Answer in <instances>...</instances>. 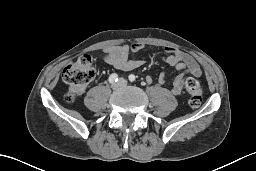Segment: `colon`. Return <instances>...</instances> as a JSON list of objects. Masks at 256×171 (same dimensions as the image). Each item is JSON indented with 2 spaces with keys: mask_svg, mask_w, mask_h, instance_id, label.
I'll list each match as a JSON object with an SVG mask.
<instances>
[{
  "mask_svg": "<svg viewBox=\"0 0 256 171\" xmlns=\"http://www.w3.org/2000/svg\"><path fill=\"white\" fill-rule=\"evenodd\" d=\"M96 70L93 59L89 55H83L78 60L69 63L62 72V80L68 85L65 101L69 104L75 102L84 88L93 80ZM185 89L188 95V103L192 108H198L202 102L203 86L194 78L185 81Z\"/></svg>",
  "mask_w": 256,
  "mask_h": 171,
  "instance_id": "1",
  "label": "colon"
}]
</instances>
